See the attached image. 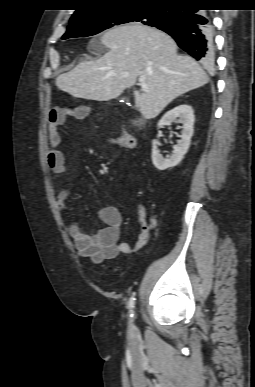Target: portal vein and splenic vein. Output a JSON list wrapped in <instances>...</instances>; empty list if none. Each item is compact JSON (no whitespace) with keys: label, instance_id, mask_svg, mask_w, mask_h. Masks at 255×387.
<instances>
[{"label":"portal vein and splenic vein","instance_id":"obj_1","mask_svg":"<svg viewBox=\"0 0 255 387\" xmlns=\"http://www.w3.org/2000/svg\"><path fill=\"white\" fill-rule=\"evenodd\" d=\"M139 83H140L143 90L148 91V86H147L145 79L143 77L139 78Z\"/></svg>","mask_w":255,"mask_h":387}]
</instances>
